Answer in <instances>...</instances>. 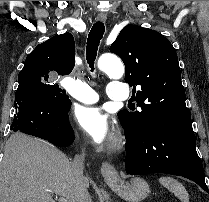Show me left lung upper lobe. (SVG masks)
I'll use <instances>...</instances> for the list:
<instances>
[{
    "instance_id": "5c2ea615",
    "label": "left lung upper lobe",
    "mask_w": 209,
    "mask_h": 202,
    "mask_svg": "<svg viewBox=\"0 0 209 202\" xmlns=\"http://www.w3.org/2000/svg\"><path fill=\"white\" fill-rule=\"evenodd\" d=\"M110 51L125 64V82L140 88L133 99L141 111L118 112L128 133L144 134L155 119L191 120L185 104V91L176 51L170 41L157 31L137 25L125 26Z\"/></svg>"
}]
</instances>
